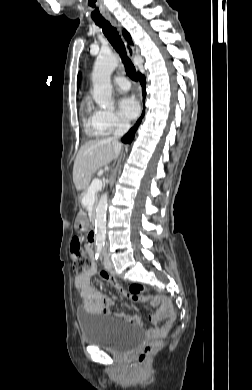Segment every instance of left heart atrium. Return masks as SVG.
<instances>
[{"label": "left heart atrium", "instance_id": "obj_1", "mask_svg": "<svg viewBox=\"0 0 252 390\" xmlns=\"http://www.w3.org/2000/svg\"><path fill=\"white\" fill-rule=\"evenodd\" d=\"M119 113L126 120L135 119L140 111L139 102L133 96H124L118 103Z\"/></svg>", "mask_w": 252, "mask_h": 390}]
</instances>
